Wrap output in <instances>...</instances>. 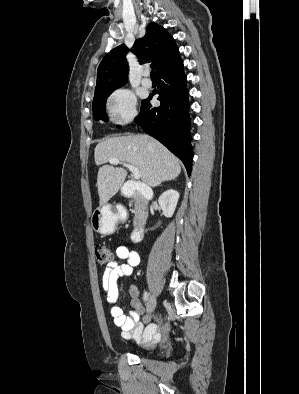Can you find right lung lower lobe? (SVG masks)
<instances>
[{
	"mask_svg": "<svg viewBox=\"0 0 299 394\" xmlns=\"http://www.w3.org/2000/svg\"><path fill=\"white\" fill-rule=\"evenodd\" d=\"M157 76L159 85L153 95L159 94L161 105L152 108L149 100L153 95H150L143 101L135 122L180 158L190 175L193 152L190 144L188 90L181 58L163 68Z\"/></svg>",
	"mask_w": 299,
	"mask_h": 394,
	"instance_id": "98d812e1",
	"label": "right lung lower lobe"
}]
</instances>
